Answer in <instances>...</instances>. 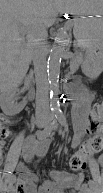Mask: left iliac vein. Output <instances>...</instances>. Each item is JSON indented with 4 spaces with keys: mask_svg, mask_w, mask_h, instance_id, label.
<instances>
[{
    "mask_svg": "<svg viewBox=\"0 0 103 193\" xmlns=\"http://www.w3.org/2000/svg\"><path fill=\"white\" fill-rule=\"evenodd\" d=\"M53 128L56 129V128H57V125H54Z\"/></svg>",
    "mask_w": 103,
    "mask_h": 193,
    "instance_id": "1",
    "label": "left iliac vein"
}]
</instances>
